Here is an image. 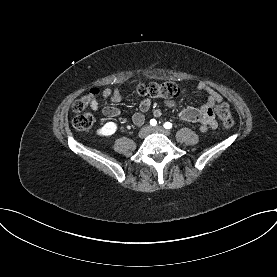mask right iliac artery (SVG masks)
I'll return each mask as SVG.
<instances>
[{
	"label": "right iliac artery",
	"instance_id": "right-iliac-artery-1",
	"mask_svg": "<svg viewBox=\"0 0 277 277\" xmlns=\"http://www.w3.org/2000/svg\"><path fill=\"white\" fill-rule=\"evenodd\" d=\"M157 124L156 120L155 119H151L150 120V125L151 126H155Z\"/></svg>",
	"mask_w": 277,
	"mask_h": 277
}]
</instances>
